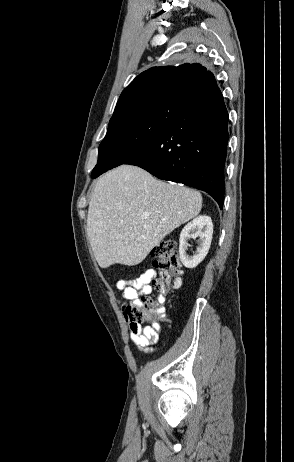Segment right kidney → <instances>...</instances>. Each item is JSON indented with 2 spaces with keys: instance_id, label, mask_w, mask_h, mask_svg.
<instances>
[{
  "instance_id": "right-kidney-1",
  "label": "right kidney",
  "mask_w": 294,
  "mask_h": 462,
  "mask_svg": "<svg viewBox=\"0 0 294 462\" xmlns=\"http://www.w3.org/2000/svg\"><path fill=\"white\" fill-rule=\"evenodd\" d=\"M212 234L213 223L211 218L206 215L196 217L183 228L179 239V256L186 268H195L204 260L211 245ZM190 238H199L198 247L193 256H189L186 253L187 241Z\"/></svg>"
}]
</instances>
